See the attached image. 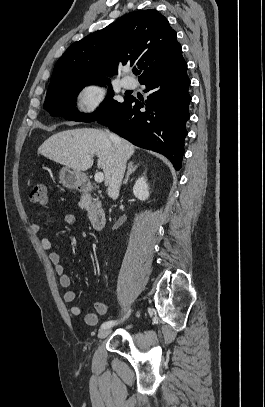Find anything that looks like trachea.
I'll return each mask as SVG.
<instances>
[{
	"instance_id": "1",
	"label": "trachea",
	"mask_w": 265,
	"mask_h": 407,
	"mask_svg": "<svg viewBox=\"0 0 265 407\" xmlns=\"http://www.w3.org/2000/svg\"><path fill=\"white\" fill-rule=\"evenodd\" d=\"M133 73H134L135 75H138L140 72L137 71V70H133Z\"/></svg>"
}]
</instances>
